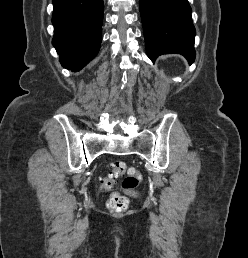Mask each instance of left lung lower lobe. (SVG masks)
<instances>
[{"label":"left lung lower lobe","mask_w":248,"mask_h":258,"mask_svg":"<svg viewBox=\"0 0 248 258\" xmlns=\"http://www.w3.org/2000/svg\"><path fill=\"white\" fill-rule=\"evenodd\" d=\"M140 14L150 60L178 53L195 60V27L188 0H139Z\"/></svg>","instance_id":"obj_1"}]
</instances>
